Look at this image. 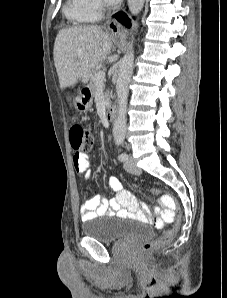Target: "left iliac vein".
Listing matches in <instances>:
<instances>
[{"label":"left iliac vein","instance_id":"1","mask_svg":"<svg viewBox=\"0 0 227 298\" xmlns=\"http://www.w3.org/2000/svg\"><path fill=\"white\" fill-rule=\"evenodd\" d=\"M124 168L126 171L132 174H140L141 169L138 168L133 160L132 157H129L125 162H124Z\"/></svg>","mask_w":227,"mask_h":298}]
</instances>
